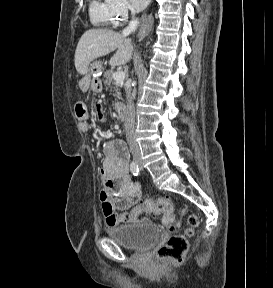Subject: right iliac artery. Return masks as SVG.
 Wrapping results in <instances>:
<instances>
[{"label":"right iliac artery","mask_w":273,"mask_h":288,"mask_svg":"<svg viewBox=\"0 0 273 288\" xmlns=\"http://www.w3.org/2000/svg\"><path fill=\"white\" fill-rule=\"evenodd\" d=\"M130 170L134 176H137L140 171L139 166L134 161H132L130 164Z\"/></svg>","instance_id":"82829eb1"}]
</instances>
